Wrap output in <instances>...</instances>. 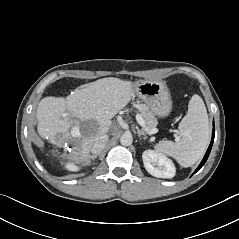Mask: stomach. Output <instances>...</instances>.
<instances>
[{
	"mask_svg": "<svg viewBox=\"0 0 239 239\" xmlns=\"http://www.w3.org/2000/svg\"><path fill=\"white\" fill-rule=\"evenodd\" d=\"M134 92L159 118H165L171 113L172 98L164 82L138 81L134 84Z\"/></svg>",
	"mask_w": 239,
	"mask_h": 239,
	"instance_id": "stomach-1",
	"label": "stomach"
}]
</instances>
